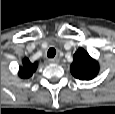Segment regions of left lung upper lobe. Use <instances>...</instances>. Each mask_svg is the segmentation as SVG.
<instances>
[{
	"instance_id": "5c2ea615",
	"label": "left lung upper lobe",
	"mask_w": 115,
	"mask_h": 114,
	"mask_svg": "<svg viewBox=\"0 0 115 114\" xmlns=\"http://www.w3.org/2000/svg\"><path fill=\"white\" fill-rule=\"evenodd\" d=\"M70 66L72 75L80 80H90L99 72V64L83 48L77 50Z\"/></svg>"
}]
</instances>
